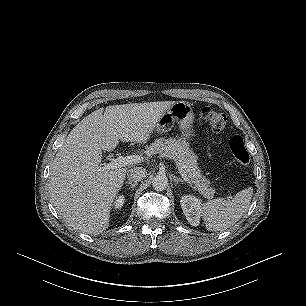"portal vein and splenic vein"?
Instances as JSON below:
<instances>
[{
  "label": "portal vein and splenic vein",
  "mask_w": 306,
  "mask_h": 306,
  "mask_svg": "<svg viewBox=\"0 0 306 306\" xmlns=\"http://www.w3.org/2000/svg\"><path fill=\"white\" fill-rule=\"evenodd\" d=\"M142 161H143V157L140 156V155H129V156L119 155L116 159H112L111 163H109L107 167L108 168H120V167H124V166H127V165L137 164V163H140ZM176 167H177L180 175L182 176V178L190 186H192L188 177L184 173L182 167L178 163H176ZM229 198H231V196H229Z\"/></svg>",
  "instance_id": "1"
}]
</instances>
